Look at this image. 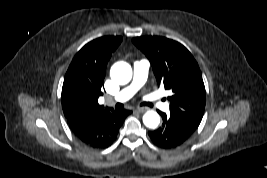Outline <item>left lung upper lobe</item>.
I'll return each mask as SVG.
<instances>
[{"instance_id": "left-lung-upper-lobe-1", "label": "left lung upper lobe", "mask_w": 267, "mask_h": 178, "mask_svg": "<svg viewBox=\"0 0 267 178\" xmlns=\"http://www.w3.org/2000/svg\"><path fill=\"white\" fill-rule=\"evenodd\" d=\"M133 43L147 56L157 83L170 89V116L194 132L203 117L206 92L192 54L180 43L160 36L136 37Z\"/></svg>"}]
</instances>
